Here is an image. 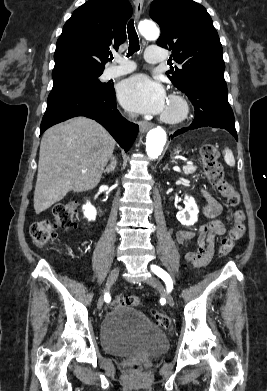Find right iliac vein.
<instances>
[{"mask_svg": "<svg viewBox=\"0 0 267 391\" xmlns=\"http://www.w3.org/2000/svg\"><path fill=\"white\" fill-rule=\"evenodd\" d=\"M119 271H120V268L118 266L114 267L109 276H108V279H107V283H106V289L109 288L117 279L118 275H119ZM106 289L103 291L102 295L99 297L98 299V303H97V307L98 309L100 310L103 306V303H104V294L106 292Z\"/></svg>", "mask_w": 267, "mask_h": 391, "instance_id": "obj_1", "label": "right iliac vein"}]
</instances>
